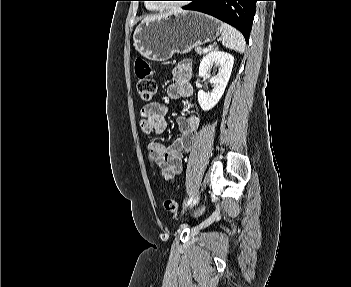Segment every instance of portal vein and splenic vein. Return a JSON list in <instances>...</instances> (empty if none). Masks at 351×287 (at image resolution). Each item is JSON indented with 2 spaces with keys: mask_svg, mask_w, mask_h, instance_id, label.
Returning <instances> with one entry per match:
<instances>
[{
  "mask_svg": "<svg viewBox=\"0 0 351 287\" xmlns=\"http://www.w3.org/2000/svg\"><path fill=\"white\" fill-rule=\"evenodd\" d=\"M208 51V48H204V52H207Z\"/></svg>",
  "mask_w": 351,
  "mask_h": 287,
  "instance_id": "1",
  "label": "portal vein and splenic vein"
}]
</instances>
